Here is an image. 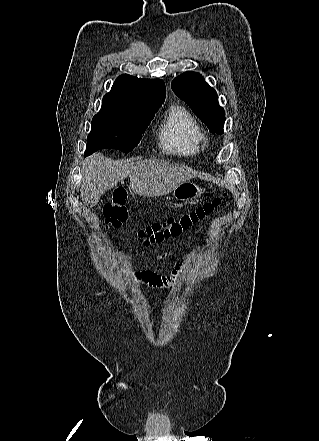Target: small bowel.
<instances>
[{
  "mask_svg": "<svg viewBox=\"0 0 319 441\" xmlns=\"http://www.w3.org/2000/svg\"><path fill=\"white\" fill-rule=\"evenodd\" d=\"M183 273V267L181 263H176L171 277H163L152 271H141L135 274V280L140 285H143L150 289L153 293L159 295H169L172 293L170 287L176 283L178 278Z\"/></svg>",
  "mask_w": 319,
  "mask_h": 441,
  "instance_id": "obj_1",
  "label": "small bowel"
}]
</instances>
